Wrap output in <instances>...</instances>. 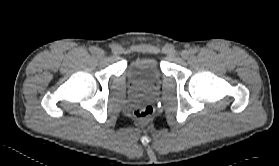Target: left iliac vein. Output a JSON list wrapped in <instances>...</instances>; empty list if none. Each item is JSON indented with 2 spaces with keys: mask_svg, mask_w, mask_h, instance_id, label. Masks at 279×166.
I'll list each match as a JSON object with an SVG mask.
<instances>
[{
  "mask_svg": "<svg viewBox=\"0 0 279 166\" xmlns=\"http://www.w3.org/2000/svg\"><path fill=\"white\" fill-rule=\"evenodd\" d=\"M181 56L183 59H187L190 56V52L188 50H183Z\"/></svg>",
  "mask_w": 279,
  "mask_h": 166,
  "instance_id": "left-iliac-vein-1",
  "label": "left iliac vein"
}]
</instances>
